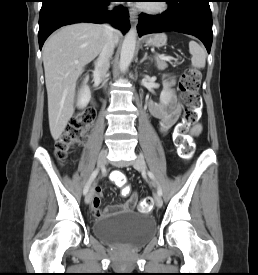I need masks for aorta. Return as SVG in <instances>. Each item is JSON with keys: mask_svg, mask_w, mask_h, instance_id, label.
<instances>
[{"mask_svg": "<svg viewBox=\"0 0 258 275\" xmlns=\"http://www.w3.org/2000/svg\"><path fill=\"white\" fill-rule=\"evenodd\" d=\"M136 35V31L131 29L125 36L119 61V68L121 71H125L133 59L136 47Z\"/></svg>", "mask_w": 258, "mask_h": 275, "instance_id": "1", "label": "aorta"}]
</instances>
